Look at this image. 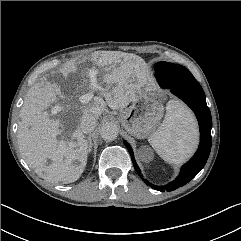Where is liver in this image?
<instances>
[{"instance_id": "6515ba94", "label": "liver", "mask_w": 241, "mask_h": 241, "mask_svg": "<svg viewBox=\"0 0 241 241\" xmlns=\"http://www.w3.org/2000/svg\"><path fill=\"white\" fill-rule=\"evenodd\" d=\"M93 66L82 71V82L77 84L76 94L66 96L57 84L48 81L36 83L27 93L21 107L18 123V144L26 163L42 173L43 163L51 160L46 168V179L53 183H71L83 173L88 157V141L79 125L84 114L99 117L109 106L112 110H122L144 93L148 84L145 61L134 54L119 51H101L92 55ZM102 73L101 77L100 74ZM77 73L75 62H69L62 68L65 83ZM97 86V87H94ZM85 89H89L84 94ZM99 90L105 98L95 96L93 100L82 102V98ZM80 94H84L80 96ZM79 97L83 105L78 111L71 105L63 112L73 114L77 124L71 134V140H58L62 122L51 118L47 108L58 98L64 102Z\"/></svg>"}]
</instances>
